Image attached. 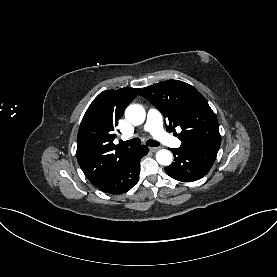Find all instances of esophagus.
I'll list each match as a JSON object with an SVG mask.
<instances>
[{
  "mask_svg": "<svg viewBox=\"0 0 277 277\" xmlns=\"http://www.w3.org/2000/svg\"><path fill=\"white\" fill-rule=\"evenodd\" d=\"M149 149H150V151H152V152H156V151L159 150V147H150Z\"/></svg>",
  "mask_w": 277,
  "mask_h": 277,
  "instance_id": "obj_1",
  "label": "esophagus"
}]
</instances>
